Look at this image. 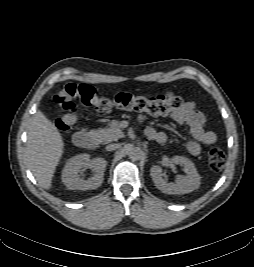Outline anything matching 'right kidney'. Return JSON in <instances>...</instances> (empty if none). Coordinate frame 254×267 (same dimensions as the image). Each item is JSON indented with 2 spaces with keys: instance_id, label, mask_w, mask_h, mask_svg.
Returning <instances> with one entry per match:
<instances>
[{
  "instance_id": "obj_1",
  "label": "right kidney",
  "mask_w": 254,
  "mask_h": 267,
  "mask_svg": "<svg viewBox=\"0 0 254 267\" xmlns=\"http://www.w3.org/2000/svg\"><path fill=\"white\" fill-rule=\"evenodd\" d=\"M107 161L104 158L90 159L88 154H79L70 158L62 171V182L69 190H92L101 186ZM90 168L94 175L87 180L79 177V171Z\"/></svg>"
}]
</instances>
